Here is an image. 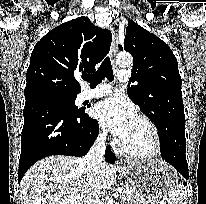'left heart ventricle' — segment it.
<instances>
[{
  "instance_id": "b2bd125f",
  "label": "left heart ventricle",
  "mask_w": 206,
  "mask_h": 204,
  "mask_svg": "<svg viewBox=\"0 0 206 204\" xmlns=\"http://www.w3.org/2000/svg\"><path fill=\"white\" fill-rule=\"evenodd\" d=\"M125 146L138 153L148 152L153 147V137L144 122L136 118L129 134L122 140Z\"/></svg>"
}]
</instances>
